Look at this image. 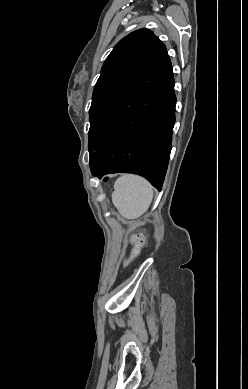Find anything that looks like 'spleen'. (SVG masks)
Returning <instances> with one entry per match:
<instances>
[{
  "mask_svg": "<svg viewBox=\"0 0 248 389\" xmlns=\"http://www.w3.org/2000/svg\"><path fill=\"white\" fill-rule=\"evenodd\" d=\"M153 199V187L137 175H122L114 184L112 202L121 216L127 219L140 217Z\"/></svg>",
  "mask_w": 248,
  "mask_h": 389,
  "instance_id": "obj_1",
  "label": "spleen"
}]
</instances>
